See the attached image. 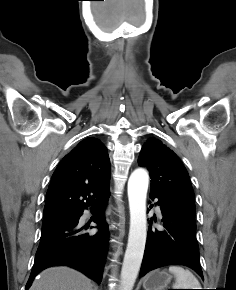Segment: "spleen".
<instances>
[{
    "instance_id": "1",
    "label": "spleen",
    "mask_w": 236,
    "mask_h": 290,
    "mask_svg": "<svg viewBox=\"0 0 236 290\" xmlns=\"http://www.w3.org/2000/svg\"><path fill=\"white\" fill-rule=\"evenodd\" d=\"M168 271L174 274L176 278L173 289H201L198 279L188 269L172 265Z\"/></svg>"
}]
</instances>
